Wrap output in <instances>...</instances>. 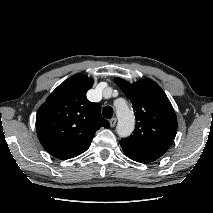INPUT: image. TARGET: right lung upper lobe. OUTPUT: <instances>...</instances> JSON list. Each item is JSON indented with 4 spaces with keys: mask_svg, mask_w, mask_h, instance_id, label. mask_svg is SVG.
Returning <instances> with one entry per match:
<instances>
[{
    "mask_svg": "<svg viewBox=\"0 0 213 213\" xmlns=\"http://www.w3.org/2000/svg\"><path fill=\"white\" fill-rule=\"evenodd\" d=\"M94 80L74 75L60 84L38 109L36 131L42 146L54 157L65 160L85 152L100 127L109 122L100 105L86 98Z\"/></svg>",
    "mask_w": 213,
    "mask_h": 213,
    "instance_id": "right-lung-upper-lobe-1",
    "label": "right lung upper lobe"
}]
</instances>
